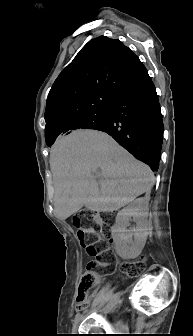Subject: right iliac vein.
Returning <instances> with one entry per match:
<instances>
[{"label": "right iliac vein", "instance_id": "right-iliac-vein-1", "mask_svg": "<svg viewBox=\"0 0 193 336\" xmlns=\"http://www.w3.org/2000/svg\"><path fill=\"white\" fill-rule=\"evenodd\" d=\"M82 316L80 315L78 319H76L74 325H73V331L76 330L78 324L80 323V321L82 320Z\"/></svg>", "mask_w": 193, "mask_h": 336}]
</instances>
